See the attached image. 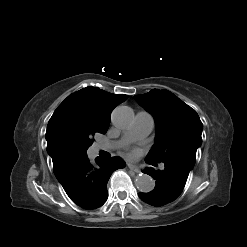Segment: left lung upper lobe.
Listing matches in <instances>:
<instances>
[{
    "mask_svg": "<svg viewBox=\"0 0 247 247\" xmlns=\"http://www.w3.org/2000/svg\"><path fill=\"white\" fill-rule=\"evenodd\" d=\"M134 98L156 122V141L146 160L173 162L191 170L202 143L203 124L196 111L167 90L152 89Z\"/></svg>",
    "mask_w": 247,
    "mask_h": 247,
    "instance_id": "5c2ea615",
    "label": "left lung upper lobe"
}]
</instances>
